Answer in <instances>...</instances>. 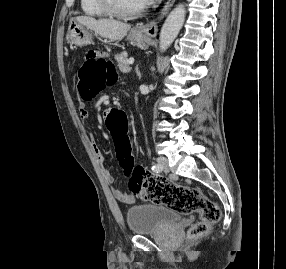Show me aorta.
<instances>
[{
	"instance_id": "obj_1",
	"label": "aorta",
	"mask_w": 286,
	"mask_h": 269,
	"mask_svg": "<svg viewBox=\"0 0 286 269\" xmlns=\"http://www.w3.org/2000/svg\"><path fill=\"white\" fill-rule=\"evenodd\" d=\"M185 14V7L182 4L169 13L160 32L159 47L161 52H165L177 37L183 26Z\"/></svg>"
}]
</instances>
